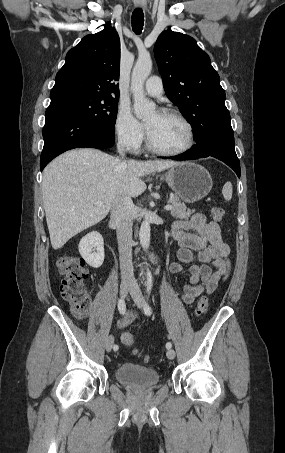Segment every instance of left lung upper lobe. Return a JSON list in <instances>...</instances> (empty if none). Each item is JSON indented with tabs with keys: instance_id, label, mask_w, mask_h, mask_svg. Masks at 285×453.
<instances>
[{
	"instance_id": "1",
	"label": "left lung upper lobe",
	"mask_w": 285,
	"mask_h": 453,
	"mask_svg": "<svg viewBox=\"0 0 285 453\" xmlns=\"http://www.w3.org/2000/svg\"><path fill=\"white\" fill-rule=\"evenodd\" d=\"M154 55L166 95L191 124L195 141L213 132H233L220 77L194 38L163 31Z\"/></svg>"
}]
</instances>
